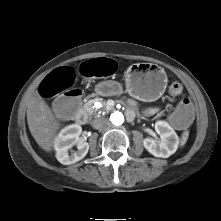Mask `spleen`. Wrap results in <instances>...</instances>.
<instances>
[{
	"mask_svg": "<svg viewBox=\"0 0 221 221\" xmlns=\"http://www.w3.org/2000/svg\"><path fill=\"white\" fill-rule=\"evenodd\" d=\"M188 136H189V132L188 131H185L183 134H182V139H181V144L184 145L188 139Z\"/></svg>",
	"mask_w": 221,
	"mask_h": 221,
	"instance_id": "obj_1",
	"label": "spleen"
}]
</instances>
